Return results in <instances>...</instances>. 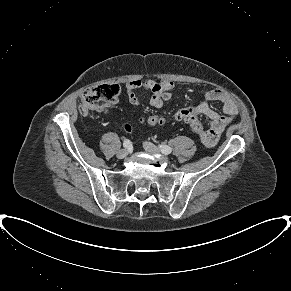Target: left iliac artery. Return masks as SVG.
<instances>
[{
	"mask_svg": "<svg viewBox=\"0 0 291 291\" xmlns=\"http://www.w3.org/2000/svg\"><path fill=\"white\" fill-rule=\"evenodd\" d=\"M159 148H160L161 152L163 154H166V155L170 154L172 152V148L168 145H165V144L159 145Z\"/></svg>",
	"mask_w": 291,
	"mask_h": 291,
	"instance_id": "obj_1",
	"label": "left iliac artery"
}]
</instances>
